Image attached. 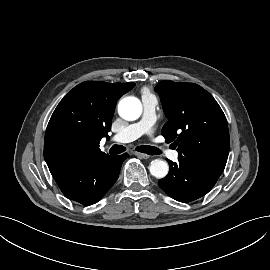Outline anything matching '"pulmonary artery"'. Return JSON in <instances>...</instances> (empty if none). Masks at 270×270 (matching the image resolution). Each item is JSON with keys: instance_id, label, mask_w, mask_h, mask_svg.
<instances>
[{"instance_id": "e3ab8cb5", "label": "pulmonary artery", "mask_w": 270, "mask_h": 270, "mask_svg": "<svg viewBox=\"0 0 270 270\" xmlns=\"http://www.w3.org/2000/svg\"><path fill=\"white\" fill-rule=\"evenodd\" d=\"M141 99L143 104V115L141 120L125 127L112 138V141L117 143H127L134 141L141 136L151 134L152 126L156 120L157 99L152 94H143ZM168 156L171 160L176 161L179 157V152L176 150L170 151Z\"/></svg>"}]
</instances>
